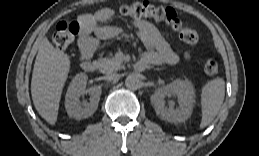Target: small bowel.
<instances>
[{
	"label": "small bowel",
	"mask_w": 259,
	"mask_h": 156,
	"mask_svg": "<svg viewBox=\"0 0 259 156\" xmlns=\"http://www.w3.org/2000/svg\"><path fill=\"white\" fill-rule=\"evenodd\" d=\"M111 8H101L92 13H85L79 17L81 25L79 47L83 54L93 52L99 40L119 34L118 28L106 27L103 24L113 17ZM137 35L144 43L147 51L139 62L144 68L148 65L162 63L174 64L180 58L178 50L173 49L164 39L159 30L150 22L137 19L133 21ZM190 51L184 52L185 58H190Z\"/></svg>",
	"instance_id": "1"
}]
</instances>
